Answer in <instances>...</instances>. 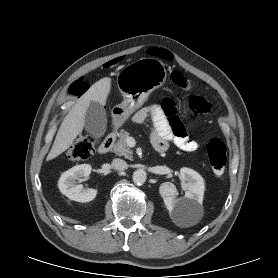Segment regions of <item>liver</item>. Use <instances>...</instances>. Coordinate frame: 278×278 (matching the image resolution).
Masks as SVG:
<instances>
[{"mask_svg":"<svg viewBox=\"0 0 278 278\" xmlns=\"http://www.w3.org/2000/svg\"><path fill=\"white\" fill-rule=\"evenodd\" d=\"M111 90V78L105 77L95 82L89 90L78 99L73 108L64 117L56 134L47 160H52L65 152L82 132L85 115L91 102L106 105Z\"/></svg>","mask_w":278,"mask_h":278,"instance_id":"6515ba94","label":"liver"}]
</instances>
